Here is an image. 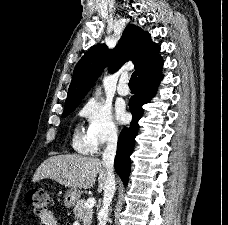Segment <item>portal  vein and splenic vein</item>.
Listing matches in <instances>:
<instances>
[{
    "instance_id": "portal-vein-and-splenic-vein-1",
    "label": "portal vein and splenic vein",
    "mask_w": 228,
    "mask_h": 225,
    "mask_svg": "<svg viewBox=\"0 0 228 225\" xmlns=\"http://www.w3.org/2000/svg\"><path fill=\"white\" fill-rule=\"evenodd\" d=\"M95 205H96V199H94V197H90V199H88V201L84 203L83 209H93Z\"/></svg>"
}]
</instances>
